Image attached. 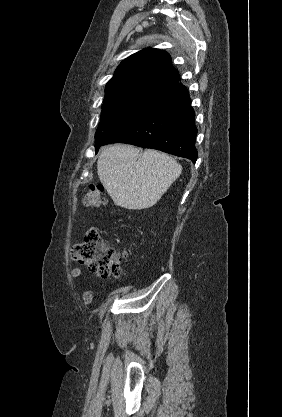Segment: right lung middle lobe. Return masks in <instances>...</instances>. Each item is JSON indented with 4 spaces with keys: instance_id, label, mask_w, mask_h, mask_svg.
I'll return each mask as SVG.
<instances>
[{
    "instance_id": "obj_1",
    "label": "right lung middle lobe",
    "mask_w": 282,
    "mask_h": 417,
    "mask_svg": "<svg viewBox=\"0 0 282 417\" xmlns=\"http://www.w3.org/2000/svg\"><path fill=\"white\" fill-rule=\"evenodd\" d=\"M158 93L124 91L105 94L101 121L95 133V149L112 133L127 124L152 103Z\"/></svg>"
}]
</instances>
